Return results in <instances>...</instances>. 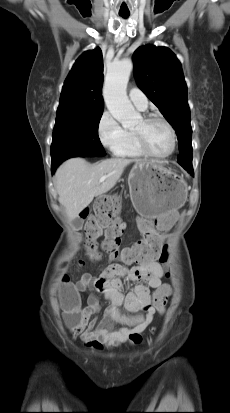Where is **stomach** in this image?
<instances>
[{
	"label": "stomach",
	"instance_id": "stomach-1",
	"mask_svg": "<svg viewBox=\"0 0 230 413\" xmlns=\"http://www.w3.org/2000/svg\"><path fill=\"white\" fill-rule=\"evenodd\" d=\"M128 184L132 204L145 218L172 214L187 199V184L184 179L156 162L136 163L129 174Z\"/></svg>",
	"mask_w": 230,
	"mask_h": 413
}]
</instances>
